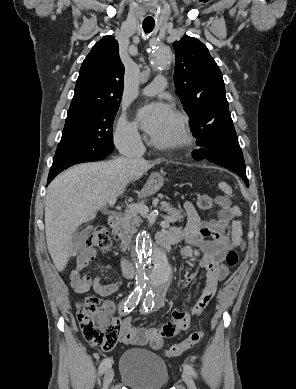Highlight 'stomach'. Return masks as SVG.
Instances as JSON below:
<instances>
[{"mask_svg": "<svg viewBox=\"0 0 296 389\" xmlns=\"http://www.w3.org/2000/svg\"><path fill=\"white\" fill-rule=\"evenodd\" d=\"M155 177L156 178L151 177L147 181L144 189L142 190V193L144 195H150V194L154 193L155 191H157L160 188L161 182L163 181L164 172L162 170H157L155 172Z\"/></svg>", "mask_w": 296, "mask_h": 389, "instance_id": "stomach-1", "label": "stomach"}]
</instances>
